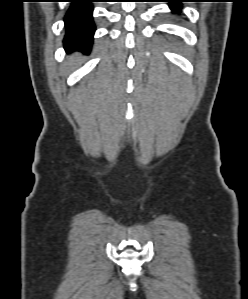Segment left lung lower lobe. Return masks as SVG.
I'll return each mask as SVG.
<instances>
[{
  "mask_svg": "<svg viewBox=\"0 0 248 299\" xmlns=\"http://www.w3.org/2000/svg\"><path fill=\"white\" fill-rule=\"evenodd\" d=\"M185 0H167L169 2L170 8L173 10V12H179L181 10V2H184Z\"/></svg>",
  "mask_w": 248,
  "mask_h": 299,
  "instance_id": "0a47b994",
  "label": "left lung lower lobe"
}]
</instances>
